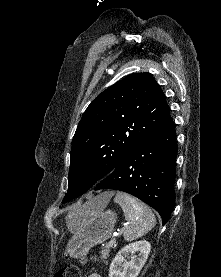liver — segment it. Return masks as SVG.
<instances>
[{"label": "liver", "mask_w": 221, "mask_h": 277, "mask_svg": "<svg viewBox=\"0 0 221 277\" xmlns=\"http://www.w3.org/2000/svg\"><path fill=\"white\" fill-rule=\"evenodd\" d=\"M113 196V193L112 192H106V193H103L97 197L94 198V200L101 204V205H106L108 204V202L110 201V199L112 198ZM74 214V211L73 212H70L68 217H67V221L68 219Z\"/></svg>", "instance_id": "6515ba94"}]
</instances>
